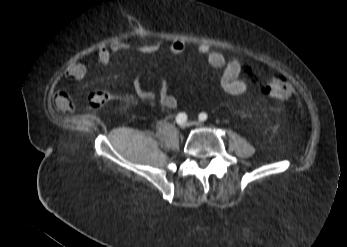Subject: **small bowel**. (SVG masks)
I'll list each match as a JSON object with an SVG mask.
<instances>
[{
	"label": "small bowel",
	"instance_id": "1",
	"mask_svg": "<svg viewBox=\"0 0 347 247\" xmlns=\"http://www.w3.org/2000/svg\"><path fill=\"white\" fill-rule=\"evenodd\" d=\"M163 47L162 42H139L135 45L126 41H118L110 47L101 46L96 50L97 63L99 65H107L111 60L113 53L135 50L143 55H151L159 52ZM186 49V43L180 39L169 42V51L172 54H181ZM197 52L204 55L208 64L220 71V86L222 90L232 96L244 95L249 89V79L251 72L243 63L236 58L227 59L225 55L213 49L210 45L200 44L197 46ZM90 63L81 61L70 64L66 70V75L74 80L83 79L91 69ZM134 89L140 99L152 101L157 99L159 103L168 109H173L177 106V99L169 93V84L162 81L159 84L158 91L155 93L146 90L142 86L141 76L137 75L133 81ZM55 109L65 115H70L75 111L74 103L70 95L66 91H60L54 98Z\"/></svg>",
	"mask_w": 347,
	"mask_h": 247
}]
</instances>
